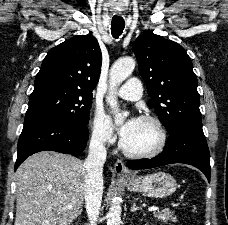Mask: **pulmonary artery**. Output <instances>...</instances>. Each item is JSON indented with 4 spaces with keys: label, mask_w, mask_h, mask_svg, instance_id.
<instances>
[{
    "label": "pulmonary artery",
    "mask_w": 228,
    "mask_h": 225,
    "mask_svg": "<svg viewBox=\"0 0 228 225\" xmlns=\"http://www.w3.org/2000/svg\"><path fill=\"white\" fill-rule=\"evenodd\" d=\"M141 93V81H137L136 78L128 81V85H122V88L117 90V94L121 98L131 101L138 99Z\"/></svg>",
    "instance_id": "e3ab8cb5"
}]
</instances>
